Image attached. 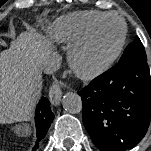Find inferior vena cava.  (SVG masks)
<instances>
[{"label":"inferior vena cava","instance_id":"602c4592","mask_svg":"<svg viewBox=\"0 0 151 151\" xmlns=\"http://www.w3.org/2000/svg\"><path fill=\"white\" fill-rule=\"evenodd\" d=\"M61 64V58L58 54L52 53L42 59V67L45 73L55 72Z\"/></svg>","mask_w":151,"mask_h":151}]
</instances>
